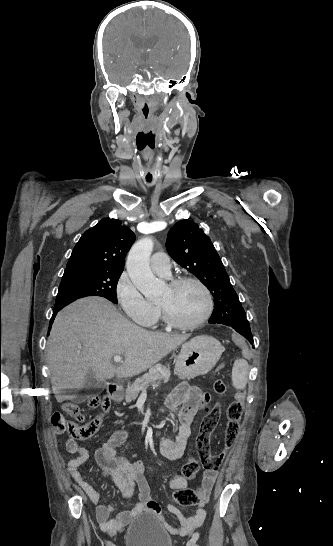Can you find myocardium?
I'll use <instances>...</instances> for the list:
<instances>
[{"instance_id": "f54148a6", "label": "myocardium", "mask_w": 333, "mask_h": 546, "mask_svg": "<svg viewBox=\"0 0 333 546\" xmlns=\"http://www.w3.org/2000/svg\"><path fill=\"white\" fill-rule=\"evenodd\" d=\"M187 283L197 285L202 290V292L204 293V296H205V302L206 303H205L204 311H203L202 315L196 321L191 322V323L179 322V321L175 320L168 313V311L164 307H162L160 305L158 306L159 310L161 312V316L163 318V321L169 327L177 329V330H183V331L194 330V329H197L198 327L202 326L210 318V316H211V314L213 312V309H214L213 295H212L210 289L208 288V286L202 280H200L199 278H196V277H193V276H180V277H177V278L173 279L169 283V287L172 288V289H175V288H178L179 286H181L183 284H187Z\"/></svg>"}]
</instances>
